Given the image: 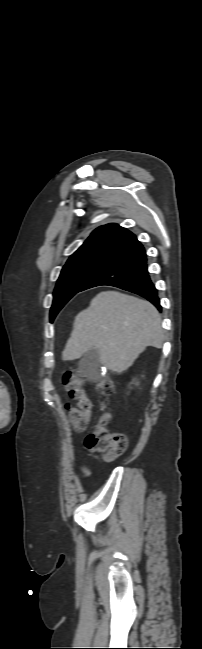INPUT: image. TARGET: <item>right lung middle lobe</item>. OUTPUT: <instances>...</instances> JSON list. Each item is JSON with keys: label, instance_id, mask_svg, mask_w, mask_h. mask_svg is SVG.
Here are the masks:
<instances>
[{"label": "right lung middle lobe", "instance_id": "1", "mask_svg": "<svg viewBox=\"0 0 202 649\" xmlns=\"http://www.w3.org/2000/svg\"><path fill=\"white\" fill-rule=\"evenodd\" d=\"M115 255L93 252L71 256L63 267L57 281L50 321L53 322L61 308L78 292L84 284Z\"/></svg>", "mask_w": 202, "mask_h": 649}]
</instances>
